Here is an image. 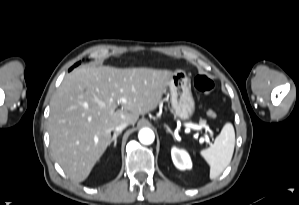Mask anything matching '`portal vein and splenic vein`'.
<instances>
[{
    "label": "portal vein and splenic vein",
    "instance_id": "portal-vein-and-splenic-vein-1",
    "mask_svg": "<svg viewBox=\"0 0 299 205\" xmlns=\"http://www.w3.org/2000/svg\"><path fill=\"white\" fill-rule=\"evenodd\" d=\"M186 126L189 127V128L195 129V130H200L201 129V126L195 125V124H187ZM204 140H205L204 138H200L201 143H203Z\"/></svg>",
    "mask_w": 299,
    "mask_h": 205
}]
</instances>
